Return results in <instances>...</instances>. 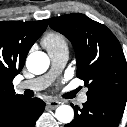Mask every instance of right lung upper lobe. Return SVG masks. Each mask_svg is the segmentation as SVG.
Wrapping results in <instances>:
<instances>
[{
	"label": "right lung upper lobe",
	"mask_w": 127,
	"mask_h": 127,
	"mask_svg": "<svg viewBox=\"0 0 127 127\" xmlns=\"http://www.w3.org/2000/svg\"><path fill=\"white\" fill-rule=\"evenodd\" d=\"M47 19L32 22H0V115L24 98L12 81L22 70L26 56L47 27Z\"/></svg>",
	"instance_id": "1"
}]
</instances>
